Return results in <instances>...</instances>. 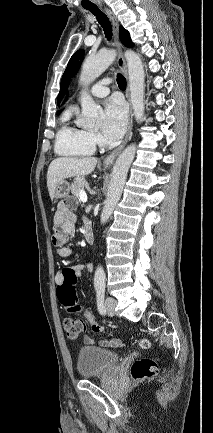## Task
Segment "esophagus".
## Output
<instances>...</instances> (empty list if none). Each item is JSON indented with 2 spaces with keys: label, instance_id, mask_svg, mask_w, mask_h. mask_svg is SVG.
Wrapping results in <instances>:
<instances>
[{
  "label": "esophagus",
  "instance_id": "esophagus-1",
  "mask_svg": "<svg viewBox=\"0 0 213 433\" xmlns=\"http://www.w3.org/2000/svg\"><path fill=\"white\" fill-rule=\"evenodd\" d=\"M107 14L109 15L113 28H114V34H115V42L116 45L119 49V55H118V65L121 68V70L123 71L124 75L126 76V78L128 79V71H127V65L122 53V45L119 41V37H118V32H119V22L115 16V14L108 8H105ZM127 98L128 101L130 103L131 106V100H130V93H129V88H127ZM132 127H133V111H132V107L130 108V113H129V117H128V130H127V134L126 137L123 141V143L116 148L115 150H113L108 156H106V158L103 161V165L106 167L111 166L116 157L120 154V152L123 150V148L125 147V145L127 144V142L131 139L132 137Z\"/></svg>",
  "mask_w": 213,
  "mask_h": 433
}]
</instances>
